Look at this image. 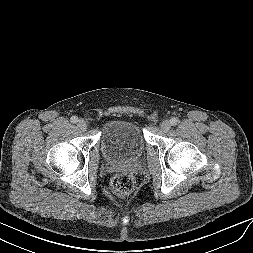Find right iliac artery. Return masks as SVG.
<instances>
[{"label": "right iliac artery", "instance_id": "82829eb1", "mask_svg": "<svg viewBox=\"0 0 253 253\" xmlns=\"http://www.w3.org/2000/svg\"><path fill=\"white\" fill-rule=\"evenodd\" d=\"M71 122H72V123L78 122V118H77L76 116H72V117H71Z\"/></svg>", "mask_w": 253, "mask_h": 253}]
</instances>
